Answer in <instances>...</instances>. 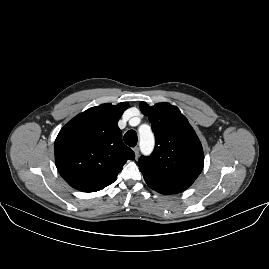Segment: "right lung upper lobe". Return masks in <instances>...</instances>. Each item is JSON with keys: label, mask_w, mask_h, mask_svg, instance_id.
Here are the masks:
<instances>
[{"label": "right lung upper lobe", "mask_w": 269, "mask_h": 269, "mask_svg": "<svg viewBox=\"0 0 269 269\" xmlns=\"http://www.w3.org/2000/svg\"><path fill=\"white\" fill-rule=\"evenodd\" d=\"M127 103L89 108L59 132L55 162L63 179L82 192H95L112 184L135 154L122 141L118 120Z\"/></svg>", "instance_id": "right-lung-upper-lobe-1"}]
</instances>
